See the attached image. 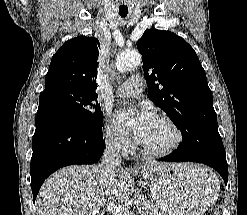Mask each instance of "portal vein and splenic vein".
Listing matches in <instances>:
<instances>
[{"instance_id":"1","label":"portal vein and splenic vein","mask_w":247,"mask_h":215,"mask_svg":"<svg viewBox=\"0 0 247 215\" xmlns=\"http://www.w3.org/2000/svg\"><path fill=\"white\" fill-rule=\"evenodd\" d=\"M136 206H141V202H135ZM107 210L111 212L113 215H129V210L123 206L115 205V204H108ZM94 213L98 212V208H95L93 211Z\"/></svg>"}]
</instances>
